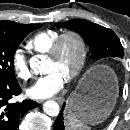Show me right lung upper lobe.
Instances as JSON below:
<instances>
[{
  "label": "right lung upper lobe",
  "mask_w": 130,
  "mask_h": 130,
  "mask_svg": "<svg viewBox=\"0 0 130 130\" xmlns=\"http://www.w3.org/2000/svg\"><path fill=\"white\" fill-rule=\"evenodd\" d=\"M21 25L22 24H19V23L13 22V21H7V20L0 21V28L14 29V28L20 27Z\"/></svg>",
  "instance_id": "right-lung-upper-lobe-1"
}]
</instances>
